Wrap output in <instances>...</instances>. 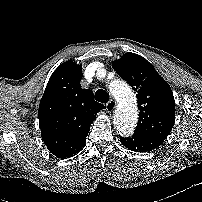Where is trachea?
I'll return each instance as SVG.
<instances>
[{
  "instance_id": "obj_1",
  "label": "trachea",
  "mask_w": 202,
  "mask_h": 202,
  "mask_svg": "<svg viewBox=\"0 0 202 202\" xmlns=\"http://www.w3.org/2000/svg\"><path fill=\"white\" fill-rule=\"evenodd\" d=\"M95 99L98 102L107 103L109 101V95L105 90L99 89L95 93Z\"/></svg>"
}]
</instances>
